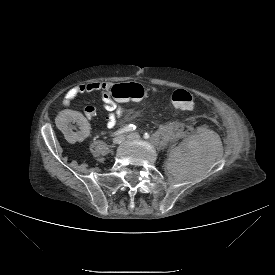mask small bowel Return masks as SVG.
<instances>
[{"mask_svg": "<svg viewBox=\"0 0 275 275\" xmlns=\"http://www.w3.org/2000/svg\"><path fill=\"white\" fill-rule=\"evenodd\" d=\"M114 84L111 82H90L81 83L72 88H70L63 99L65 105L72 103L79 95L97 92L101 95V105L107 112V122L108 128H113L123 113L122 106L118 103V99H114L112 96V89ZM151 94L153 96L157 95V90L155 88H150ZM96 109L93 106H87L84 109V116L87 119H92L96 116ZM58 127L60 131L64 132L70 142L79 145L83 143L84 139L88 137L90 132V127L86 123L85 119L82 118L81 114L67 110L60 115L58 119Z\"/></svg>", "mask_w": 275, "mask_h": 275, "instance_id": "small-bowel-1", "label": "small bowel"}]
</instances>
